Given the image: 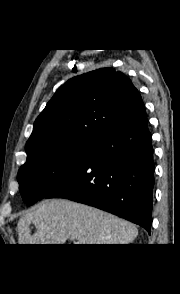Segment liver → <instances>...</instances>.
I'll use <instances>...</instances> for the list:
<instances>
[{"label": "liver", "mask_w": 180, "mask_h": 294, "mask_svg": "<svg viewBox=\"0 0 180 294\" xmlns=\"http://www.w3.org/2000/svg\"><path fill=\"white\" fill-rule=\"evenodd\" d=\"M33 223L36 232L31 233ZM19 244H129L138 236L130 222L94 207L66 199L45 201L17 223Z\"/></svg>", "instance_id": "obj_1"}]
</instances>
